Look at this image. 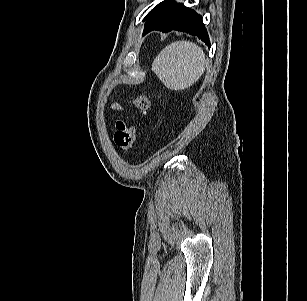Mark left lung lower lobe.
Wrapping results in <instances>:
<instances>
[{
    "instance_id": "left-lung-lower-lobe-1",
    "label": "left lung lower lobe",
    "mask_w": 307,
    "mask_h": 301,
    "mask_svg": "<svg viewBox=\"0 0 307 301\" xmlns=\"http://www.w3.org/2000/svg\"><path fill=\"white\" fill-rule=\"evenodd\" d=\"M152 30H160L164 33L172 30L187 32L198 36L199 39L210 47L208 34L203 24L202 17L180 3L176 4L158 23L147 28L143 35Z\"/></svg>"
}]
</instances>
